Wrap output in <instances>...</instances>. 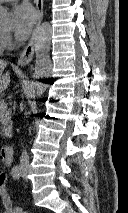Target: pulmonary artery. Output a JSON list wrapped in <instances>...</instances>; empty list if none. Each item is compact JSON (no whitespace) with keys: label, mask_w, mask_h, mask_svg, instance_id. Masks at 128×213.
Instances as JSON below:
<instances>
[{"label":"pulmonary artery","mask_w":128,"mask_h":213,"mask_svg":"<svg viewBox=\"0 0 128 213\" xmlns=\"http://www.w3.org/2000/svg\"><path fill=\"white\" fill-rule=\"evenodd\" d=\"M13 1V0H0V2Z\"/></svg>","instance_id":"pulmonary-artery-1"}]
</instances>
